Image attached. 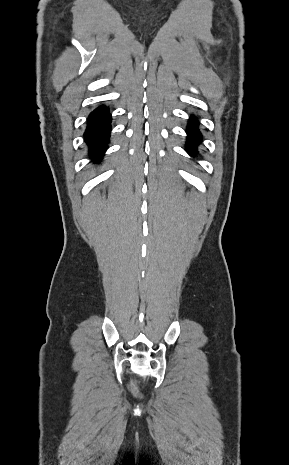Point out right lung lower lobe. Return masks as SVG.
<instances>
[{"instance_id": "right-lung-lower-lobe-1", "label": "right lung lower lobe", "mask_w": 289, "mask_h": 465, "mask_svg": "<svg viewBox=\"0 0 289 465\" xmlns=\"http://www.w3.org/2000/svg\"><path fill=\"white\" fill-rule=\"evenodd\" d=\"M111 115L105 106L96 108L88 117L84 133L85 142L89 146L90 157L98 162L105 150L111 130Z\"/></svg>"}]
</instances>
